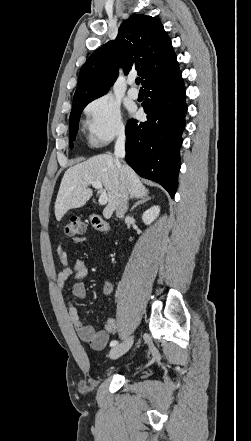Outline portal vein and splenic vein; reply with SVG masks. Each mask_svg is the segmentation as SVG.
<instances>
[{
    "mask_svg": "<svg viewBox=\"0 0 251 441\" xmlns=\"http://www.w3.org/2000/svg\"><path fill=\"white\" fill-rule=\"evenodd\" d=\"M92 186L93 188L97 189L99 191V204L100 205H105L108 202V196L106 191L103 189L102 187V183L100 181H94L92 182Z\"/></svg>",
    "mask_w": 251,
    "mask_h": 441,
    "instance_id": "18ae733b",
    "label": "portal vein and splenic vein"
}]
</instances>
